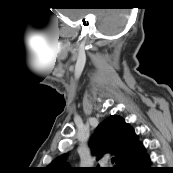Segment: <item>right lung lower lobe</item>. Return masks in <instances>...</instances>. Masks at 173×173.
<instances>
[{
  "instance_id": "1",
  "label": "right lung lower lobe",
  "mask_w": 173,
  "mask_h": 173,
  "mask_svg": "<svg viewBox=\"0 0 173 173\" xmlns=\"http://www.w3.org/2000/svg\"><path fill=\"white\" fill-rule=\"evenodd\" d=\"M157 169L150 166V158L144 146L128 156L115 173H157Z\"/></svg>"
}]
</instances>
